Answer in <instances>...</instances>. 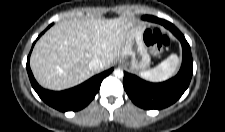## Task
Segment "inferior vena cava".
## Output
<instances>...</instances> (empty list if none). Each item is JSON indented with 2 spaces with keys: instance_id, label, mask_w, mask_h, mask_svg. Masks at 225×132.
I'll list each match as a JSON object with an SVG mask.
<instances>
[{
  "instance_id": "1",
  "label": "inferior vena cava",
  "mask_w": 225,
  "mask_h": 132,
  "mask_svg": "<svg viewBox=\"0 0 225 132\" xmlns=\"http://www.w3.org/2000/svg\"><path fill=\"white\" fill-rule=\"evenodd\" d=\"M105 66V62L100 59V58H94L90 63H89V68L95 72H100L103 70Z\"/></svg>"
}]
</instances>
